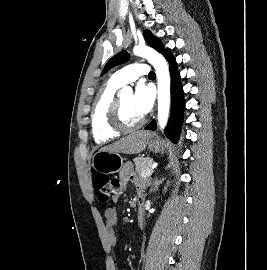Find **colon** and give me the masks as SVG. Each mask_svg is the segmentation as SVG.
<instances>
[{
    "label": "colon",
    "instance_id": "1",
    "mask_svg": "<svg viewBox=\"0 0 267 270\" xmlns=\"http://www.w3.org/2000/svg\"><path fill=\"white\" fill-rule=\"evenodd\" d=\"M93 187L97 191L98 199L101 203L110 202L121 191L120 181L106 174H96L93 177Z\"/></svg>",
    "mask_w": 267,
    "mask_h": 270
}]
</instances>
